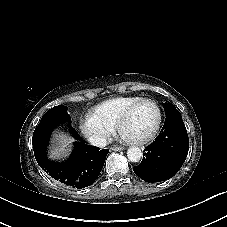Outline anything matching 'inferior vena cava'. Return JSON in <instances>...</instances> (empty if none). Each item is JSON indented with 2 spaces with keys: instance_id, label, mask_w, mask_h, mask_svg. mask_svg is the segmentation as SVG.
<instances>
[{
  "instance_id": "inferior-vena-cava-1",
  "label": "inferior vena cava",
  "mask_w": 227,
  "mask_h": 227,
  "mask_svg": "<svg viewBox=\"0 0 227 227\" xmlns=\"http://www.w3.org/2000/svg\"><path fill=\"white\" fill-rule=\"evenodd\" d=\"M91 143L99 148H104L107 145V140L105 137L94 135L91 137Z\"/></svg>"
}]
</instances>
